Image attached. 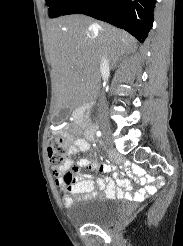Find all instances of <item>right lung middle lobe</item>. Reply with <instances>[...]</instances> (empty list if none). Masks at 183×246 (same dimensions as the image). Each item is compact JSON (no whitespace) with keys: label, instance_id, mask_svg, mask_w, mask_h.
<instances>
[{"label":"right lung middle lobe","instance_id":"1","mask_svg":"<svg viewBox=\"0 0 183 246\" xmlns=\"http://www.w3.org/2000/svg\"><path fill=\"white\" fill-rule=\"evenodd\" d=\"M75 0H46L49 7V17L55 18L62 15Z\"/></svg>","mask_w":183,"mask_h":246}]
</instances>
